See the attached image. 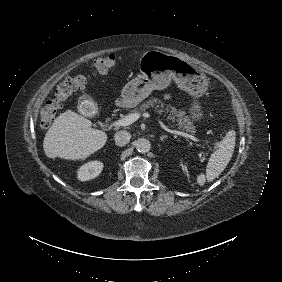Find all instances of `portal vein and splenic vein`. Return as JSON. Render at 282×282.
<instances>
[{
    "label": "portal vein and splenic vein",
    "mask_w": 282,
    "mask_h": 282,
    "mask_svg": "<svg viewBox=\"0 0 282 282\" xmlns=\"http://www.w3.org/2000/svg\"><path fill=\"white\" fill-rule=\"evenodd\" d=\"M142 116L148 117V114L147 113L141 114L139 112H135V113H132L130 115H127L124 119L120 120L118 122V124L121 125V126H126V125H129V124L136 122ZM158 124L160 126H162L163 128H165L166 130H168L169 132H171V134L174 137H184V138H187L188 140H191L194 143L204 144V145H206V147H208V149L214 150V147L207 144V142H205V140L200 141L197 137L191 136L189 133H186V132H177V131H175V129L172 126H169L167 123H165L162 120H159Z\"/></svg>",
    "instance_id": "1"
}]
</instances>
